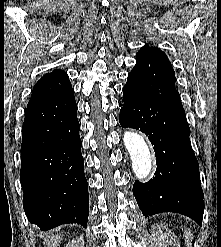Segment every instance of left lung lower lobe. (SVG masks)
I'll return each instance as SVG.
<instances>
[{"label": "left lung lower lobe", "mask_w": 221, "mask_h": 247, "mask_svg": "<svg viewBox=\"0 0 221 247\" xmlns=\"http://www.w3.org/2000/svg\"><path fill=\"white\" fill-rule=\"evenodd\" d=\"M119 106L121 126L140 129L154 145L155 177L133 185L142 214L176 212L202 226L204 194L184 110L137 93L129 79Z\"/></svg>", "instance_id": "left-lung-lower-lobe-1"}]
</instances>
